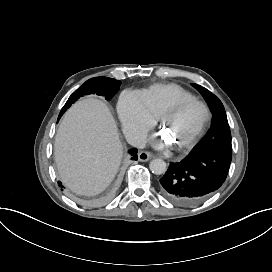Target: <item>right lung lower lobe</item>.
Returning <instances> with one entry per match:
<instances>
[{
	"label": "right lung lower lobe",
	"instance_id": "1",
	"mask_svg": "<svg viewBox=\"0 0 272 272\" xmlns=\"http://www.w3.org/2000/svg\"><path fill=\"white\" fill-rule=\"evenodd\" d=\"M60 118H58L59 120ZM129 153L131 154L132 156V160H137V149H132L129 151ZM59 185L62 187L61 183L59 182Z\"/></svg>",
	"mask_w": 272,
	"mask_h": 272
}]
</instances>
